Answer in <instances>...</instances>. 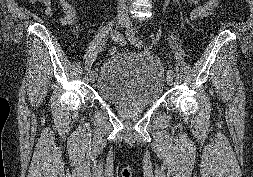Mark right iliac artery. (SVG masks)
Wrapping results in <instances>:
<instances>
[{"label": "right iliac artery", "mask_w": 253, "mask_h": 177, "mask_svg": "<svg viewBox=\"0 0 253 177\" xmlns=\"http://www.w3.org/2000/svg\"><path fill=\"white\" fill-rule=\"evenodd\" d=\"M112 38L115 42H117L118 44H120L121 46L125 45V40H124V36L122 33H120L119 31L115 30L112 33ZM93 71H91L92 73Z\"/></svg>", "instance_id": "obj_1"}]
</instances>
